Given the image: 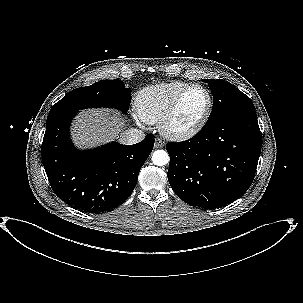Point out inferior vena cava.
<instances>
[{
    "mask_svg": "<svg viewBox=\"0 0 303 303\" xmlns=\"http://www.w3.org/2000/svg\"><path fill=\"white\" fill-rule=\"evenodd\" d=\"M121 142L127 145H133L141 142L145 138L142 130L131 128L121 133Z\"/></svg>",
    "mask_w": 303,
    "mask_h": 303,
    "instance_id": "602c4592",
    "label": "inferior vena cava"
}]
</instances>
